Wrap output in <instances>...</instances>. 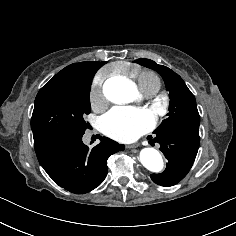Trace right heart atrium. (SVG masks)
<instances>
[{
	"instance_id": "d8ad5b80",
	"label": "right heart atrium",
	"mask_w": 236,
	"mask_h": 236,
	"mask_svg": "<svg viewBox=\"0 0 236 236\" xmlns=\"http://www.w3.org/2000/svg\"><path fill=\"white\" fill-rule=\"evenodd\" d=\"M106 80V72H100L93 80L91 98L98 103L104 101L103 86Z\"/></svg>"
}]
</instances>
